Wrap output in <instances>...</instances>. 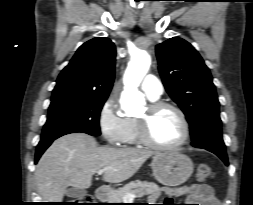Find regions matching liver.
Here are the masks:
<instances>
[{
    "label": "liver",
    "mask_w": 253,
    "mask_h": 205,
    "mask_svg": "<svg viewBox=\"0 0 253 205\" xmlns=\"http://www.w3.org/2000/svg\"><path fill=\"white\" fill-rule=\"evenodd\" d=\"M155 153L146 149L99 147L85 133H71L55 140L40 158L36 170L37 190L44 202H62L67 187L87 189L92 176L107 169L102 179L120 183L132 177Z\"/></svg>",
    "instance_id": "liver-1"
}]
</instances>
